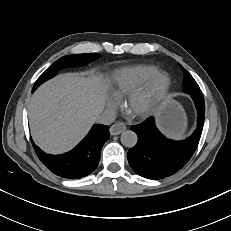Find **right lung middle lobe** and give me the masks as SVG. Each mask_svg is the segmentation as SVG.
I'll list each match as a JSON object with an SVG mask.
<instances>
[{
  "instance_id": "1",
  "label": "right lung middle lobe",
  "mask_w": 231,
  "mask_h": 231,
  "mask_svg": "<svg viewBox=\"0 0 231 231\" xmlns=\"http://www.w3.org/2000/svg\"><path fill=\"white\" fill-rule=\"evenodd\" d=\"M100 54L88 53V54H75L62 57L51 65L36 81L33 90L34 91L41 83L54 77L59 70L66 67H76L86 65L89 62L96 60Z\"/></svg>"
}]
</instances>
